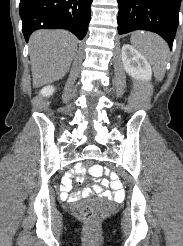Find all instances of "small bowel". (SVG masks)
Wrapping results in <instances>:
<instances>
[{
    "mask_svg": "<svg viewBox=\"0 0 183 246\" xmlns=\"http://www.w3.org/2000/svg\"><path fill=\"white\" fill-rule=\"evenodd\" d=\"M72 169H68V174H64V179L62 181V184L60 185L61 193L60 198L69 199L72 201H75L79 198L86 197L90 194V192H94L96 194H99L103 197H106L108 199L113 200H119L123 198L124 192H123V184H121L117 178L118 175L114 174L113 178H110V183L113 192L106 191L104 188L108 186L107 181L101 182V178L103 177V174H113V169H104V167H92L91 168V174L90 177L92 178V183H96L92 186L91 190H85L79 194L69 195L68 191L71 189V180L75 179V172L77 173V179H84L85 169L82 165H72Z\"/></svg>",
    "mask_w": 183,
    "mask_h": 246,
    "instance_id": "c3829d8e",
    "label": "small bowel"
}]
</instances>
